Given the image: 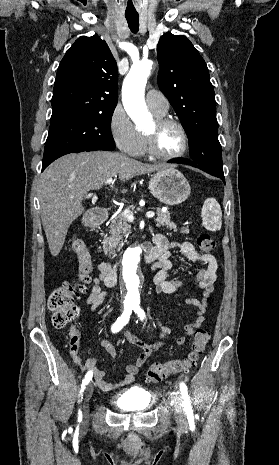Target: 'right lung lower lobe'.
Instances as JSON below:
<instances>
[{
    "instance_id": "1",
    "label": "right lung lower lobe",
    "mask_w": 279,
    "mask_h": 465,
    "mask_svg": "<svg viewBox=\"0 0 279 465\" xmlns=\"http://www.w3.org/2000/svg\"><path fill=\"white\" fill-rule=\"evenodd\" d=\"M114 149V146L113 147H108V146H100V145H97V146H87L86 148H84L83 150H81L80 152L82 151H95V150H113ZM48 165H42V171L47 167Z\"/></svg>"
}]
</instances>
